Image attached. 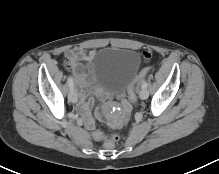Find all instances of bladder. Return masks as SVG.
<instances>
[{"label":"bladder","mask_w":219,"mask_h":174,"mask_svg":"<svg viewBox=\"0 0 219 174\" xmlns=\"http://www.w3.org/2000/svg\"><path fill=\"white\" fill-rule=\"evenodd\" d=\"M141 64L133 49L112 47L97 53L90 62L94 82L106 92L123 89L135 76Z\"/></svg>","instance_id":"31cf9c89"}]
</instances>
